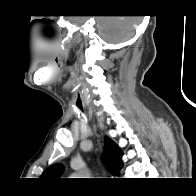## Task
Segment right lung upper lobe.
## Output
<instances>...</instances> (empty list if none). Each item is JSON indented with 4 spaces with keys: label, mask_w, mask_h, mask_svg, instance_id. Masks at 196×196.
Listing matches in <instances>:
<instances>
[{
    "label": "right lung upper lobe",
    "mask_w": 196,
    "mask_h": 196,
    "mask_svg": "<svg viewBox=\"0 0 196 196\" xmlns=\"http://www.w3.org/2000/svg\"><path fill=\"white\" fill-rule=\"evenodd\" d=\"M104 163L112 175H120L123 167L122 152L109 137H105ZM63 169L64 166L62 164H54L43 172L41 178L45 180L58 179Z\"/></svg>",
    "instance_id": "obj_1"
}]
</instances>
